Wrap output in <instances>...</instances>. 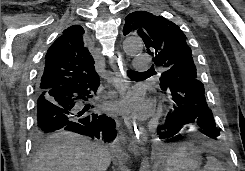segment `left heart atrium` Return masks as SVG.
<instances>
[{
  "mask_svg": "<svg viewBox=\"0 0 245 171\" xmlns=\"http://www.w3.org/2000/svg\"><path fill=\"white\" fill-rule=\"evenodd\" d=\"M118 107L124 114L139 119L148 117L153 111L152 102L140 91L130 92L119 102Z\"/></svg>",
  "mask_w": 245,
  "mask_h": 171,
  "instance_id": "1",
  "label": "left heart atrium"
}]
</instances>
